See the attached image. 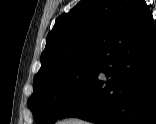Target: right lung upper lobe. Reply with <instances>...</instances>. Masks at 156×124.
Returning a JSON list of instances; mask_svg holds the SVG:
<instances>
[{"mask_svg": "<svg viewBox=\"0 0 156 124\" xmlns=\"http://www.w3.org/2000/svg\"><path fill=\"white\" fill-rule=\"evenodd\" d=\"M151 25L145 0H81L56 19L34 78L71 64L101 60L130 32Z\"/></svg>", "mask_w": 156, "mask_h": 124, "instance_id": "1", "label": "right lung upper lobe"}]
</instances>
